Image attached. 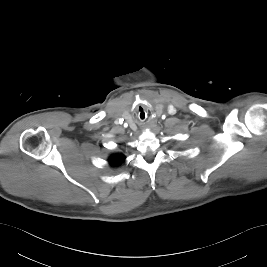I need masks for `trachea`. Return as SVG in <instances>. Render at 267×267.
<instances>
[{
    "instance_id": "obj_1",
    "label": "trachea",
    "mask_w": 267,
    "mask_h": 267,
    "mask_svg": "<svg viewBox=\"0 0 267 267\" xmlns=\"http://www.w3.org/2000/svg\"><path fill=\"white\" fill-rule=\"evenodd\" d=\"M138 118L140 121H145L146 120V115L145 112H141L138 114Z\"/></svg>"
}]
</instances>
